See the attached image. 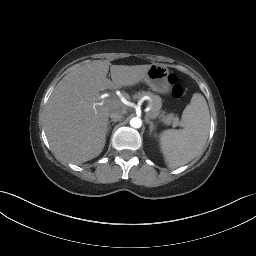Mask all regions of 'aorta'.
<instances>
[{
  "instance_id": "762f6f07",
  "label": "aorta",
  "mask_w": 256,
  "mask_h": 256,
  "mask_svg": "<svg viewBox=\"0 0 256 256\" xmlns=\"http://www.w3.org/2000/svg\"><path fill=\"white\" fill-rule=\"evenodd\" d=\"M130 125L133 128H140L142 126V120L138 117H134L130 120Z\"/></svg>"
}]
</instances>
